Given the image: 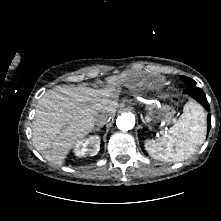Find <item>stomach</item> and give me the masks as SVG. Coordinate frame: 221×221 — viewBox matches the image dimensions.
<instances>
[{"instance_id":"stomach-1","label":"stomach","mask_w":221,"mask_h":221,"mask_svg":"<svg viewBox=\"0 0 221 221\" xmlns=\"http://www.w3.org/2000/svg\"><path fill=\"white\" fill-rule=\"evenodd\" d=\"M121 80L135 96H145L150 91H162L167 86L164 77L151 72L126 70L122 73Z\"/></svg>"}]
</instances>
